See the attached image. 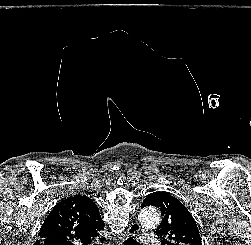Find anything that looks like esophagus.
Segmentation results:
<instances>
[{
	"label": "esophagus",
	"instance_id": "34e87169",
	"mask_svg": "<svg viewBox=\"0 0 251 245\" xmlns=\"http://www.w3.org/2000/svg\"><path fill=\"white\" fill-rule=\"evenodd\" d=\"M140 225H139V223H137V222H132L130 225H129V227H128V229H127V235L128 236H131V235H136L139 231H140ZM126 239V236H122V237H119L118 238V245H122V242L124 241Z\"/></svg>",
	"mask_w": 251,
	"mask_h": 245
}]
</instances>
